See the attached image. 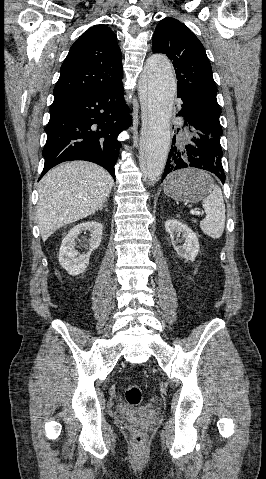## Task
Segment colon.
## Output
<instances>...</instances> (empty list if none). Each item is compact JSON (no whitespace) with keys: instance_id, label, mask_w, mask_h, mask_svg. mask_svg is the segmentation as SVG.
Returning <instances> with one entry per match:
<instances>
[{"instance_id":"1","label":"colon","mask_w":266,"mask_h":479,"mask_svg":"<svg viewBox=\"0 0 266 479\" xmlns=\"http://www.w3.org/2000/svg\"><path fill=\"white\" fill-rule=\"evenodd\" d=\"M142 390L139 386L129 384L125 391V400L130 406H138L142 402ZM133 440L136 444H141L144 441L143 431H136L133 435Z\"/></svg>"}]
</instances>
